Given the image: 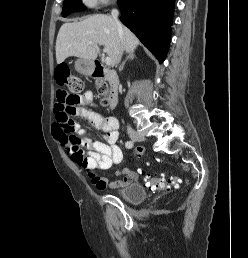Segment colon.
<instances>
[{
  "mask_svg": "<svg viewBox=\"0 0 248 258\" xmlns=\"http://www.w3.org/2000/svg\"><path fill=\"white\" fill-rule=\"evenodd\" d=\"M57 80L60 85H67L68 93L65 92L62 96L57 99L55 110H56V124L59 125L62 133L67 135L72 141H76L74 136L73 120L71 115L73 114V107L78 102L79 94L84 90L83 81L75 76H68V68L66 66L60 67V72L57 75ZM98 88L101 95L106 96L108 93V85L103 79L98 80ZM103 104L107 105L108 101L106 98L103 100ZM134 156L144 155V144H135L132 147ZM89 176H97L94 168L86 169ZM145 185L152 190H162L170 187H174L177 184L176 178H165L162 176H147L144 179Z\"/></svg>",
  "mask_w": 248,
  "mask_h": 258,
  "instance_id": "colon-1",
  "label": "colon"
}]
</instances>
